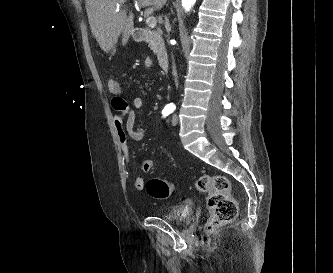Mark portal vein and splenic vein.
<instances>
[{"label":"portal vein and splenic vein","instance_id":"portal-vein-and-splenic-vein-1","mask_svg":"<svg viewBox=\"0 0 333 273\" xmlns=\"http://www.w3.org/2000/svg\"><path fill=\"white\" fill-rule=\"evenodd\" d=\"M118 9H119V6H117L116 11H118ZM146 24L148 25V27L154 28L157 24L156 18L153 16L147 17Z\"/></svg>","mask_w":333,"mask_h":273}]
</instances>
